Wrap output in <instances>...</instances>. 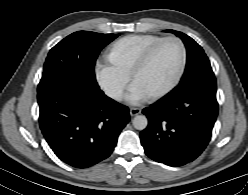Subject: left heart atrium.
Here are the masks:
<instances>
[{
    "mask_svg": "<svg viewBox=\"0 0 248 195\" xmlns=\"http://www.w3.org/2000/svg\"><path fill=\"white\" fill-rule=\"evenodd\" d=\"M141 92L142 91L140 89L135 88L130 95L131 101L134 103L141 102L143 99V94Z\"/></svg>",
    "mask_w": 248,
    "mask_h": 195,
    "instance_id": "obj_1",
    "label": "left heart atrium"
}]
</instances>
